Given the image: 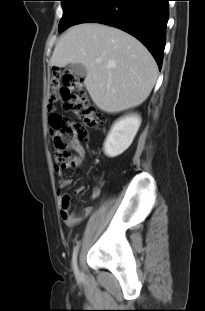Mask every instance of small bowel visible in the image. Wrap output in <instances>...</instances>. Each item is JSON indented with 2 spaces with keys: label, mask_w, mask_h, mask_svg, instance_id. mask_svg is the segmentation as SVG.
Wrapping results in <instances>:
<instances>
[{
  "label": "small bowel",
  "mask_w": 205,
  "mask_h": 311,
  "mask_svg": "<svg viewBox=\"0 0 205 311\" xmlns=\"http://www.w3.org/2000/svg\"><path fill=\"white\" fill-rule=\"evenodd\" d=\"M76 154L69 159L65 164L56 167L57 173L62 175V172L67 169H76L79 168L84 160L85 150L82 146H79L76 150ZM71 184V179L61 176L60 178V187L57 191L59 198V204L61 207L60 216L63 222L70 227L76 226L85 220L92 212L91 206L83 207L79 212H71L69 210V199L64 194V189ZM84 187H80L78 192H82ZM100 194L99 188H95L92 191V197L97 198Z\"/></svg>",
  "instance_id": "1"
}]
</instances>
